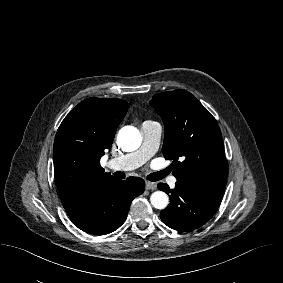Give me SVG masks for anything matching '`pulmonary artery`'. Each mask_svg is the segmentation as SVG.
Instances as JSON below:
<instances>
[{"instance_id": "1", "label": "pulmonary artery", "mask_w": 283, "mask_h": 283, "mask_svg": "<svg viewBox=\"0 0 283 283\" xmlns=\"http://www.w3.org/2000/svg\"><path fill=\"white\" fill-rule=\"evenodd\" d=\"M162 126L156 121H145L141 125L142 144L134 152L113 158L109 160V167L121 171H131L148 161L158 150ZM174 186L176 179L172 177L169 181Z\"/></svg>"}]
</instances>
